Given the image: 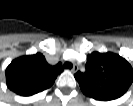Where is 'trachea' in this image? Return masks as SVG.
<instances>
[{
	"label": "trachea",
	"instance_id": "trachea-1",
	"mask_svg": "<svg viewBox=\"0 0 133 106\" xmlns=\"http://www.w3.org/2000/svg\"><path fill=\"white\" fill-rule=\"evenodd\" d=\"M72 66H73L72 63H70V62H65V63H64V68H65V69H71Z\"/></svg>",
	"mask_w": 133,
	"mask_h": 106
}]
</instances>
